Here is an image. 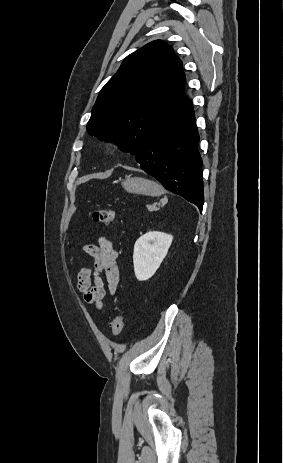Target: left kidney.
Here are the masks:
<instances>
[{"instance_id": "left-kidney-1", "label": "left kidney", "mask_w": 283, "mask_h": 463, "mask_svg": "<svg viewBox=\"0 0 283 463\" xmlns=\"http://www.w3.org/2000/svg\"><path fill=\"white\" fill-rule=\"evenodd\" d=\"M173 236L151 231L141 236L134 245L133 263L139 281L151 278L168 253Z\"/></svg>"}]
</instances>
